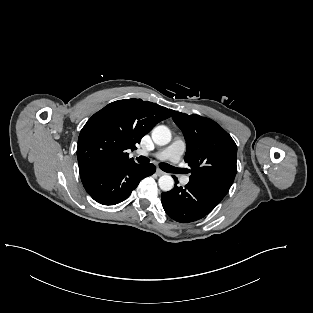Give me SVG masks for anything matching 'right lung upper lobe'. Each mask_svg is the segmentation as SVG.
I'll return each mask as SVG.
<instances>
[{"mask_svg": "<svg viewBox=\"0 0 313 313\" xmlns=\"http://www.w3.org/2000/svg\"><path fill=\"white\" fill-rule=\"evenodd\" d=\"M170 116L167 108L141 99L108 104L80 132L77 147L80 175L136 164L128 157L127 150L136 149L144 135Z\"/></svg>", "mask_w": 313, "mask_h": 313, "instance_id": "cb5924a9", "label": "right lung upper lobe"}]
</instances>
